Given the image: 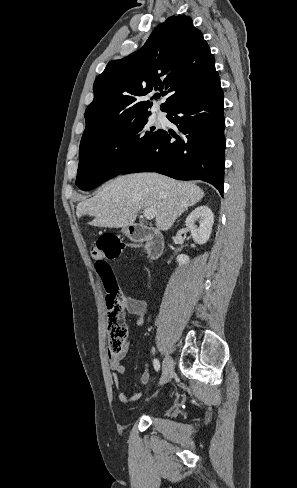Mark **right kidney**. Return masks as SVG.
<instances>
[{"label":"right kidney","mask_w":297,"mask_h":488,"mask_svg":"<svg viewBox=\"0 0 297 488\" xmlns=\"http://www.w3.org/2000/svg\"><path fill=\"white\" fill-rule=\"evenodd\" d=\"M199 221L200 226L196 228L195 222ZM214 223V215L208 206H199L192 210L185 220L187 230L197 244H205L211 235ZM189 256L185 254L178 255L176 260L179 266L189 262Z\"/></svg>","instance_id":"1"}]
</instances>
